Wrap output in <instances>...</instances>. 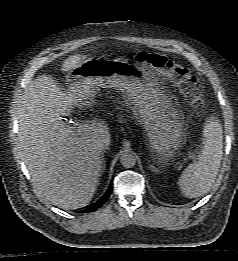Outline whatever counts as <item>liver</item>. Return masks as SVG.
<instances>
[{
  "mask_svg": "<svg viewBox=\"0 0 238 261\" xmlns=\"http://www.w3.org/2000/svg\"><path fill=\"white\" fill-rule=\"evenodd\" d=\"M68 57L62 71L83 62ZM79 99L65 91L50 75L34 79L22 95L18 108L19 148L36 192L63 209L85 207L91 201L102 171L100 143L110 144L103 122L77 135L62 116H69Z\"/></svg>",
  "mask_w": 238,
  "mask_h": 261,
  "instance_id": "obj_1",
  "label": "liver"
}]
</instances>
